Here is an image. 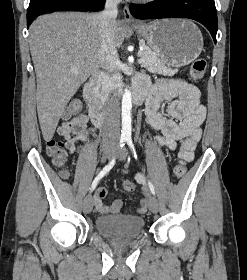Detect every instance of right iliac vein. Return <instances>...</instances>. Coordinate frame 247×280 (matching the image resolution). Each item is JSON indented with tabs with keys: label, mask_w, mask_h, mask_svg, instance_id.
Returning <instances> with one entry per match:
<instances>
[{
	"label": "right iliac vein",
	"mask_w": 247,
	"mask_h": 280,
	"mask_svg": "<svg viewBox=\"0 0 247 280\" xmlns=\"http://www.w3.org/2000/svg\"><path fill=\"white\" fill-rule=\"evenodd\" d=\"M114 152L113 145H107L104 147L103 156L105 159H110ZM93 208V197L92 195H88L85 197L83 201V210L85 213H90Z\"/></svg>",
	"instance_id": "1"
}]
</instances>
